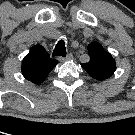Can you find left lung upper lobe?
Wrapping results in <instances>:
<instances>
[{
    "mask_svg": "<svg viewBox=\"0 0 135 135\" xmlns=\"http://www.w3.org/2000/svg\"><path fill=\"white\" fill-rule=\"evenodd\" d=\"M88 55L90 61L82 63L81 66L94 79L103 81L112 76L116 70L115 59L105 51L103 46L97 42L88 45Z\"/></svg>",
    "mask_w": 135,
    "mask_h": 135,
    "instance_id": "1",
    "label": "left lung upper lobe"
}]
</instances>
